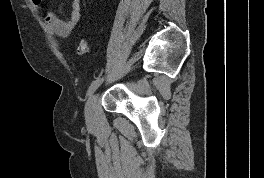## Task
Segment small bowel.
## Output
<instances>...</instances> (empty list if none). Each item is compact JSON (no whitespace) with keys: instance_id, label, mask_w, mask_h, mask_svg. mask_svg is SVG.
<instances>
[{"instance_id":"1","label":"small bowel","mask_w":264,"mask_h":178,"mask_svg":"<svg viewBox=\"0 0 264 178\" xmlns=\"http://www.w3.org/2000/svg\"><path fill=\"white\" fill-rule=\"evenodd\" d=\"M33 3L37 7L42 8V2L41 4H35V2ZM43 12L44 20L48 28L56 35L65 38L73 33L80 20L81 2L80 0H72L71 13L68 19H62L50 11L43 10Z\"/></svg>"}]
</instances>
